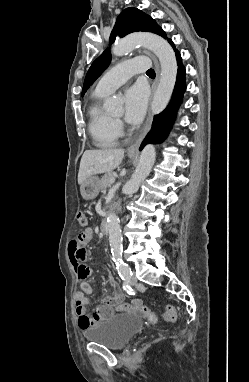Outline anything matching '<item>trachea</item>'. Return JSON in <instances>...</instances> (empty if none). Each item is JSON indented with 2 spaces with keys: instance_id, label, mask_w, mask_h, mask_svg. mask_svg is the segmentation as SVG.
Masks as SVG:
<instances>
[{
  "instance_id": "trachea-1",
  "label": "trachea",
  "mask_w": 249,
  "mask_h": 382,
  "mask_svg": "<svg viewBox=\"0 0 249 382\" xmlns=\"http://www.w3.org/2000/svg\"><path fill=\"white\" fill-rule=\"evenodd\" d=\"M146 74L148 75H151V74H155V71L153 69H149Z\"/></svg>"
}]
</instances>
